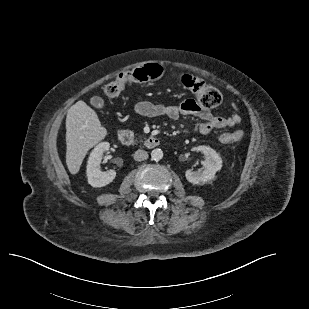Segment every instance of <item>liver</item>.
Instances as JSON below:
<instances>
[{
    "instance_id": "liver-1",
    "label": "liver",
    "mask_w": 309,
    "mask_h": 309,
    "mask_svg": "<svg viewBox=\"0 0 309 309\" xmlns=\"http://www.w3.org/2000/svg\"><path fill=\"white\" fill-rule=\"evenodd\" d=\"M107 135L96 112L84 101L72 105L66 116V164L73 175L80 170L88 152Z\"/></svg>"
}]
</instances>
